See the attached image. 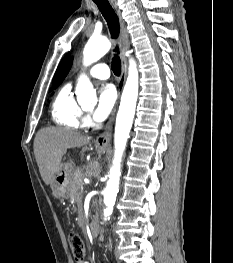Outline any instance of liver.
<instances>
[{
  "label": "liver",
  "instance_id": "obj_1",
  "mask_svg": "<svg viewBox=\"0 0 233 263\" xmlns=\"http://www.w3.org/2000/svg\"><path fill=\"white\" fill-rule=\"evenodd\" d=\"M90 140L89 136L65 128L41 129L34 140V154L44 183H52L68 148L85 146Z\"/></svg>",
  "mask_w": 233,
  "mask_h": 263
}]
</instances>
